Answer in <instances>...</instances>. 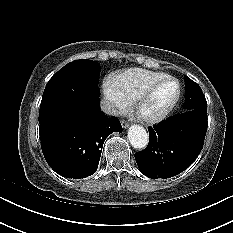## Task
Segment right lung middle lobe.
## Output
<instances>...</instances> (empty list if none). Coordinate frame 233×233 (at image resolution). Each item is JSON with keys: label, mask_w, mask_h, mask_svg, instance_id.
Returning <instances> with one entry per match:
<instances>
[{"label": "right lung middle lobe", "mask_w": 233, "mask_h": 233, "mask_svg": "<svg viewBox=\"0 0 233 233\" xmlns=\"http://www.w3.org/2000/svg\"><path fill=\"white\" fill-rule=\"evenodd\" d=\"M100 65L77 60L65 65L47 83L39 111V124L56 118H74L81 93L100 96Z\"/></svg>", "instance_id": "1"}]
</instances>
